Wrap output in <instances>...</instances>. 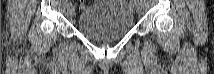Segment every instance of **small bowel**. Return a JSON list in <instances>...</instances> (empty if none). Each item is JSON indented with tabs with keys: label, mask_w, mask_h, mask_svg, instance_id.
Listing matches in <instances>:
<instances>
[{
	"label": "small bowel",
	"mask_w": 214,
	"mask_h": 74,
	"mask_svg": "<svg viewBox=\"0 0 214 74\" xmlns=\"http://www.w3.org/2000/svg\"><path fill=\"white\" fill-rule=\"evenodd\" d=\"M80 7H81V8H83V7H84V5L81 3V4H80Z\"/></svg>",
	"instance_id": "c3829d8e"
}]
</instances>
